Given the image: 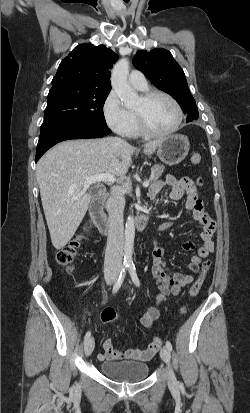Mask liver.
I'll return each instance as SVG.
<instances>
[{
	"mask_svg": "<svg viewBox=\"0 0 250 413\" xmlns=\"http://www.w3.org/2000/svg\"><path fill=\"white\" fill-rule=\"evenodd\" d=\"M159 141L144 145L153 154ZM134 146L117 137L68 140L49 150L37 163L36 177L53 246L62 249L71 240L92 201L85 178L108 173L124 176Z\"/></svg>",
	"mask_w": 250,
	"mask_h": 413,
	"instance_id": "obj_1",
	"label": "liver"
}]
</instances>
